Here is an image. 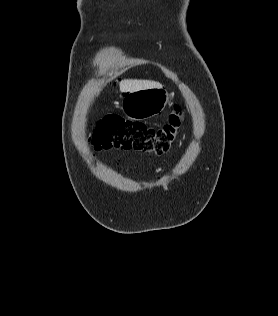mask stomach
I'll return each instance as SVG.
<instances>
[{
  "instance_id": "0dacf381",
  "label": "stomach",
  "mask_w": 278,
  "mask_h": 316,
  "mask_svg": "<svg viewBox=\"0 0 278 316\" xmlns=\"http://www.w3.org/2000/svg\"><path fill=\"white\" fill-rule=\"evenodd\" d=\"M169 95L163 88H148L122 94L121 109L132 120L158 115L166 106Z\"/></svg>"
}]
</instances>
